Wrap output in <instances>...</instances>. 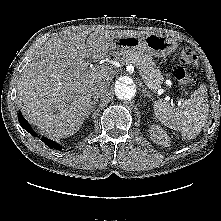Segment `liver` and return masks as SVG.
<instances>
[{
    "label": "liver",
    "instance_id": "obj_1",
    "mask_svg": "<svg viewBox=\"0 0 221 221\" xmlns=\"http://www.w3.org/2000/svg\"><path fill=\"white\" fill-rule=\"evenodd\" d=\"M145 34L106 30L87 38L88 31H67L48 40L21 74L22 114L47 136L75 134L88 114L93 88L103 84L108 89L112 74L108 67L89 68L86 58H102L115 49L116 39Z\"/></svg>",
    "mask_w": 221,
    "mask_h": 221
}]
</instances>
